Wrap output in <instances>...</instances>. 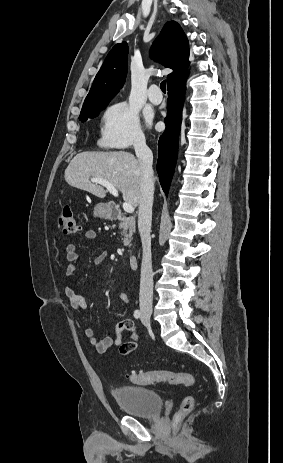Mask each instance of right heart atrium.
Returning a JSON list of instances; mask_svg holds the SVG:
<instances>
[{"label": "right heart atrium", "instance_id": "obj_1", "mask_svg": "<svg viewBox=\"0 0 283 463\" xmlns=\"http://www.w3.org/2000/svg\"><path fill=\"white\" fill-rule=\"evenodd\" d=\"M100 143L118 149L143 146L145 136L138 111L125 101L108 106L101 118Z\"/></svg>", "mask_w": 283, "mask_h": 463}]
</instances>
